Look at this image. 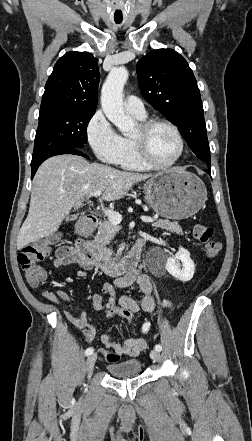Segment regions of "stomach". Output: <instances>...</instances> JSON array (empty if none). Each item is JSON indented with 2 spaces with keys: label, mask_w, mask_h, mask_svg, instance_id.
<instances>
[{
  "label": "stomach",
  "mask_w": 252,
  "mask_h": 441,
  "mask_svg": "<svg viewBox=\"0 0 252 441\" xmlns=\"http://www.w3.org/2000/svg\"><path fill=\"white\" fill-rule=\"evenodd\" d=\"M145 201L162 217L186 219L196 214L207 199V190L195 174L181 168L161 171L143 186Z\"/></svg>",
  "instance_id": "1"
}]
</instances>
